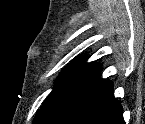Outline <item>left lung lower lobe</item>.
Masks as SVG:
<instances>
[{
    "instance_id": "obj_1",
    "label": "left lung lower lobe",
    "mask_w": 145,
    "mask_h": 124,
    "mask_svg": "<svg viewBox=\"0 0 145 124\" xmlns=\"http://www.w3.org/2000/svg\"><path fill=\"white\" fill-rule=\"evenodd\" d=\"M101 71L45 124H125L120 102L114 98L113 83Z\"/></svg>"
}]
</instances>
